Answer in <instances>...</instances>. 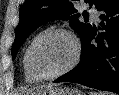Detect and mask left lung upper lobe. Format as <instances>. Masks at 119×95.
Returning <instances> with one entry per match:
<instances>
[{"mask_svg": "<svg viewBox=\"0 0 119 95\" xmlns=\"http://www.w3.org/2000/svg\"><path fill=\"white\" fill-rule=\"evenodd\" d=\"M96 9L105 0H84ZM76 0H26L20 11V22L16 29L15 42L12 46V58L25 39L40 25L52 20H70V26L78 32L81 41L91 25L79 22V14L74 8Z\"/></svg>", "mask_w": 119, "mask_h": 95, "instance_id": "left-lung-upper-lobe-1", "label": "left lung upper lobe"}]
</instances>
